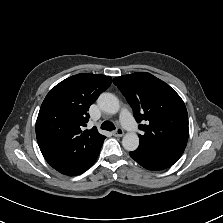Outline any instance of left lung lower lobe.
I'll return each mask as SVG.
<instances>
[{
  "label": "left lung lower lobe",
  "instance_id": "0a47b994",
  "mask_svg": "<svg viewBox=\"0 0 223 223\" xmlns=\"http://www.w3.org/2000/svg\"><path fill=\"white\" fill-rule=\"evenodd\" d=\"M130 156L141 166L148 170H162L172 166L176 161L161 157L152 156L146 153L132 151Z\"/></svg>",
  "mask_w": 223,
  "mask_h": 223
}]
</instances>
